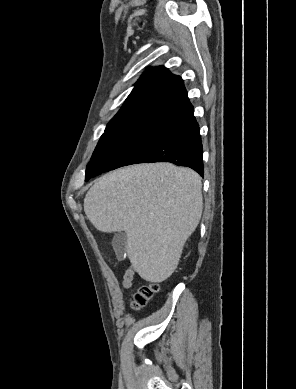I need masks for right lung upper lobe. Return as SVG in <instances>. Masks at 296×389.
Listing matches in <instances>:
<instances>
[{
	"mask_svg": "<svg viewBox=\"0 0 296 389\" xmlns=\"http://www.w3.org/2000/svg\"><path fill=\"white\" fill-rule=\"evenodd\" d=\"M194 112L183 80L164 66L148 69L112 120L159 115L175 120Z\"/></svg>",
	"mask_w": 296,
	"mask_h": 389,
	"instance_id": "obj_1",
	"label": "right lung upper lobe"
}]
</instances>
